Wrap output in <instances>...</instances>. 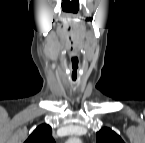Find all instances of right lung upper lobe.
<instances>
[{"label": "right lung upper lobe", "mask_w": 145, "mask_h": 143, "mask_svg": "<svg viewBox=\"0 0 145 143\" xmlns=\"http://www.w3.org/2000/svg\"><path fill=\"white\" fill-rule=\"evenodd\" d=\"M25 143H55L51 135V127L47 124L39 125Z\"/></svg>", "instance_id": "right-lung-upper-lobe-1"}]
</instances>
